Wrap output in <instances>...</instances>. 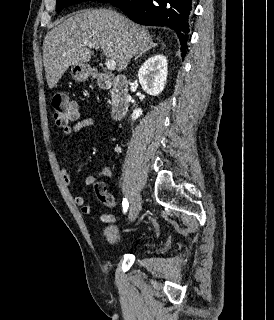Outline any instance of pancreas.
Here are the masks:
<instances>
[{"label": "pancreas", "instance_id": "pancreas-1", "mask_svg": "<svg viewBox=\"0 0 274 320\" xmlns=\"http://www.w3.org/2000/svg\"><path fill=\"white\" fill-rule=\"evenodd\" d=\"M110 94H111V96H112V94H113L112 90H110Z\"/></svg>", "mask_w": 274, "mask_h": 320}]
</instances>
